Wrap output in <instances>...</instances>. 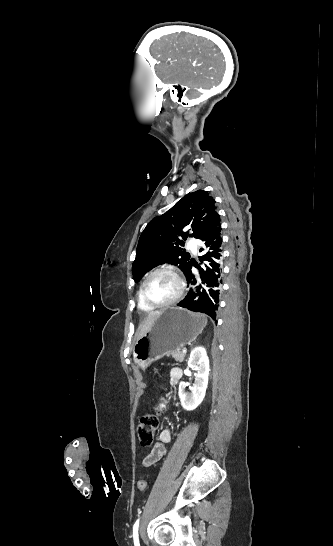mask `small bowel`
Masks as SVG:
<instances>
[{
    "instance_id": "small-bowel-1",
    "label": "small bowel",
    "mask_w": 333,
    "mask_h": 546,
    "mask_svg": "<svg viewBox=\"0 0 333 546\" xmlns=\"http://www.w3.org/2000/svg\"><path fill=\"white\" fill-rule=\"evenodd\" d=\"M181 377H182L181 369L179 368L171 369L169 373L170 384L173 386L177 385ZM157 408L162 409L163 404L161 402H158ZM171 439H172L171 430L168 428L162 429L159 433L158 441L155 443L151 451L144 457L143 465L145 467H149L154 465L156 462H158L166 454L168 444L171 442Z\"/></svg>"
}]
</instances>
